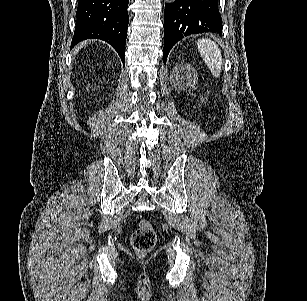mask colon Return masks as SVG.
Segmentation results:
<instances>
[{"label": "colon", "instance_id": "5ec220e1", "mask_svg": "<svg viewBox=\"0 0 307 301\" xmlns=\"http://www.w3.org/2000/svg\"><path fill=\"white\" fill-rule=\"evenodd\" d=\"M157 242V233L152 223L148 220H141L137 229L131 236V244L139 256L147 255Z\"/></svg>", "mask_w": 307, "mask_h": 301}]
</instances>
